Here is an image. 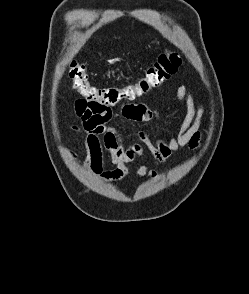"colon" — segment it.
I'll return each mask as SVG.
<instances>
[{
  "instance_id": "5ec220e1",
  "label": "colon",
  "mask_w": 249,
  "mask_h": 294,
  "mask_svg": "<svg viewBox=\"0 0 249 294\" xmlns=\"http://www.w3.org/2000/svg\"><path fill=\"white\" fill-rule=\"evenodd\" d=\"M180 64L181 58L178 53L167 50L158 56L137 82L102 88L91 85L85 66L77 61L71 63L69 75L73 88L90 105L114 106L125 100H134L159 88L177 71Z\"/></svg>"
}]
</instances>
